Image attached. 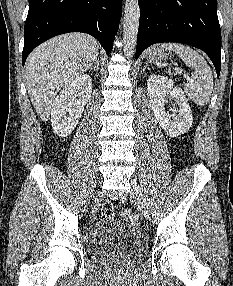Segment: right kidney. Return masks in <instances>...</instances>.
<instances>
[{
	"label": "right kidney",
	"instance_id": "1",
	"mask_svg": "<svg viewBox=\"0 0 233 286\" xmlns=\"http://www.w3.org/2000/svg\"><path fill=\"white\" fill-rule=\"evenodd\" d=\"M92 93V79L80 75L64 86L52 104L51 121L53 131L66 137L76 128Z\"/></svg>",
	"mask_w": 233,
	"mask_h": 286
}]
</instances>
